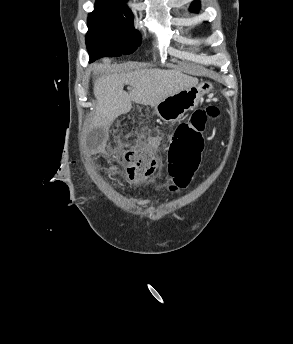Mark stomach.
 <instances>
[{"label":"stomach","mask_w":293,"mask_h":344,"mask_svg":"<svg viewBox=\"0 0 293 344\" xmlns=\"http://www.w3.org/2000/svg\"><path fill=\"white\" fill-rule=\"evenodd\" d=\"M212 87V83L203 82L189 89L170 95L154 107L155 113L164 122L175 123L179 121L187 111L193 110L201 101L203 95L208 93Z\"/></svg>","instance_id":"0dacf381"}]
</instances>
